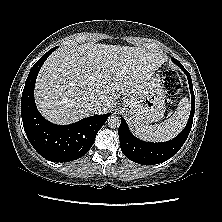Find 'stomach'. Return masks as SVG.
I'll list each match as a JSON object with an SVG mask.
<instances>
[{"label":"stomach","mask_w":222,"mask_h":222,"mask_svg":"<svg viewBox=\"0 0 222 222\" xmlns=\"http://www.w3.org/2000/svg\"><path fill=\"white\" fill-rule=\"evenodd\" d=\"M124 111L134 126L156 122L165 111V92L158 76H151L137 95L123 102Z\"/></svg>","instance_id":"obj_1"}]
</instances>
